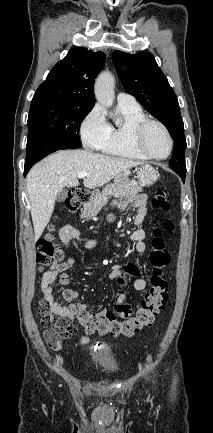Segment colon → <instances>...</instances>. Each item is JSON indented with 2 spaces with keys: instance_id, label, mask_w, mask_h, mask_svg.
Masks as SVG:
<instances>
[{
  "instance_id": "5ec220e1",
  "label": "colon",
  "mask_w": 213,
  "mask_h": 433,
  "mask_svg": "<svg viewBox=\"0 0 213 433\" xmlns=\"http://www.w3.org/2000/svg\"><path fill=\"white\" fill-rule=\"evenodd\" d=\"M89 198L90 193L87 190L72 189L68 193L65 202L66 207L72 211L78 210ZM152 206L164 212L170 209L167 193L163 189L155 191ZM164 230L169 235H173L176 230L174 222L166 220ZM54 235L53 228H50L49 233L37 243V262L42 266L48 265L58 256ZM149 260L153 267L150 287L140 300L134 313H132L131 306L126 303L123 292L119 295L113 311L95 313L89 311L84 305L75 302L73 291L66 290L64 298L77 322L88 332L127 338H132L139 334L143 328L152 326L155 317L165 306L169 289L165 268L170 262V255L165 248V241L159 228H155L152 233ZM126 276V273H121L116 278L119 283H123ZM40 311L42 324L45 327H51L58 336L68 337L75 332V326L70 321L51 315L44 306H41Z\"/></svg>"
}]
</instances>
